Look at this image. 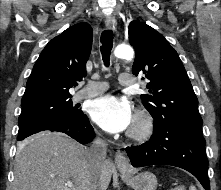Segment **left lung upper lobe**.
<instances>
[{
    "label": "left lung upper lobe",
    "mask_w": 221,
    "mask_h": 190,
    "mask_svg": "<svg viewBox=\"0 0 221 190\" xmlns=\"http://www.w3.org/2000/svg\"><path fill=\"white\" fill-rule=\"evenodd\" d=\"M129 42L136 51L132 73L149 80L151 95L141 98L154 125H177L203 137L198 100L177 52L155 29L138 21L129 25Z\"/></svg>",
    "instance_id": "5c2ea615"
}]
</instances>
